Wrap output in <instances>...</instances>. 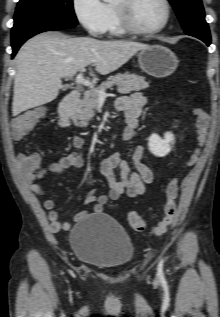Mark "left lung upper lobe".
I'll return each instance as SVG.
<instances>
[{"mask_svg":"<svg viewBox=\"0 0 220 317\" xmlns=\"http://www.w3.org/2000/svg\"><path fill=\"white\" fill-rule=\"evenodd\" d=\"M185 32H209L201 0H169Z\"/></svg>","mask_w":220,"mask_h":317,"instance_id":"left-lung-upper-lobe-1","label":"left lung upper lobe"}]
</instances>
